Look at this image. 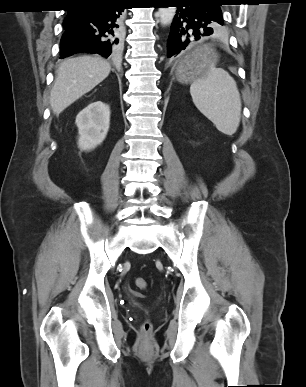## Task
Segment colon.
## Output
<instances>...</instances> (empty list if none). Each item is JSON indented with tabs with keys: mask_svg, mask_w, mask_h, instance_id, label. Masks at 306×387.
Returning a JSON list of instances; mask_svg holds the SVG:
<instances>
[{
	"mask_svg": "<svg viewBox=\"0 0 306 387\" xmlns=\"http://www.w3.org/2000/svg\"><path fill=\"white\" fill-rule=\"evenodd\" d=\"M135 285L140 290H145L148 286L147 281L142 277L135 279ZM141 330L144 333H149L152 330V324L149 321H145L141 326Z\"/></svg>",
	"mask_w": 306,
	"mask_h": 387,
	"instance_id": "5ec220e1",
	"label": "colon"
}]
</instances>
